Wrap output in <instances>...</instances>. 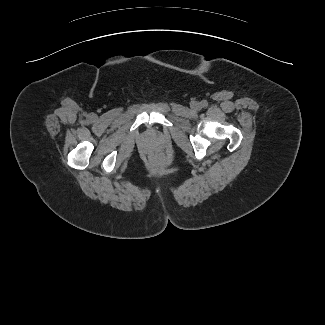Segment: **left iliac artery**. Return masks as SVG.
I'll return each mask as SVG.
<instances>
[{
  "label": "left iliac artery",
  "instance_id": "left-iliac-artery-1",
  "mask_svg": "<svg viewBox=\"0 0 325 325\" xmlns=\"http://www.w3.org/2000/svg\"><path fill=\"white\" fill-rule=\"evenodd\" d=\"M207 105H208V103H207L206 101H203V102L201 103V107H203V108L207 107Z\"/></svg>",
  "mask_w": 325,
  "mask_h": 325
}]
</instances>
